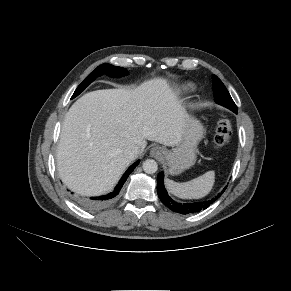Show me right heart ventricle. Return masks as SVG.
Listing matches in <instances>:
<instances>
[{
  "label": "right heart ventricle",
  "mask_w": 291,
  "mask_h": 291,
  "mask_svg": "<svg viewBox=\"0 0 291 291\" xmlns=\"http://www.w3.org/2000/svg\"><path fill=\"white\" fill-rule=\"evenodd\" d=\"M185 90H191L192 89V85L191 84H187L184 87Z\"/></svg>",
  "instance_id": "obj_1"
}]
</instances>
